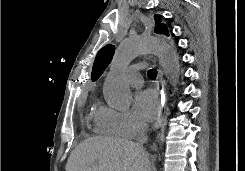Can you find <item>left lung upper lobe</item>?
I'll list each match as a JSON object with an SVG mask.
<instances>
[{
  "mask_svg": "<svg viewBox=\"0 0 245 171\" xmlns=\"http://www.w3.org/2000/svg\"><path fill=\"white\" fill-rule=\"evenodd\" d=\"M154 20L156 23L155 26V33L164 34L169 36L168 28L163 23V16L162 15H154ZM115 51L114 45H106L105 47L101 48L96 55L93 69H92V81H96L103 73V71L107 68L109 63L111 62Z\"/></svg>",
  "mask_w": 245,
  "mask_h": 171,
  "instance_id": "left-lung-upper-lobe-1",
  "label": "left lung upper lobe"
}]
</instances>
